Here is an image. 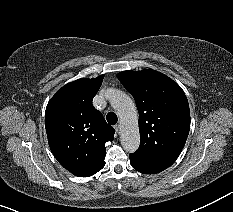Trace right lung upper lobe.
Instances as JSON below:
<instances>
[{
    "mask_svg": "<svg viewBox=\"0 0 233 212\" xmlns=\"http://www.w3.org/2000/svg\"><path fill=\"white\" fill-rule=\"evenodd\" d=\"M103 78L66 84L46 107L45 128L52 153L78 177L92 176L104 167L105 143L114 138L115 130L92 105Z\"/></svg>",
    "mask_w": 233,
    "mask_h": 212,
    "instance_id": "obj_1",
    "label": "right lung upper lobe"
}]
</instances>
